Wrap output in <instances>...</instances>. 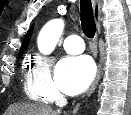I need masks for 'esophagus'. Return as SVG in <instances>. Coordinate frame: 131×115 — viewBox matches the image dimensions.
<instances>
[{"instance_id":"obj_1","label":"esophagus","mask_w":131,"mask_h":115,"mask_svg":"<svg viewBox=\"0 0 131 115\" xmlns=\"http://www.w3.org/2000/svg\"><path fill=\"white\" fill-rule=\"evenodd\" d=\"M100 8H101L100 1L99 0H93V12H94V18H95V21H96V25H97V40H98V38L101 34V10H100ZM101 73H102V66H101V63L99 61L96 78H95L94 82L92 83V85H91V87H90V89H89V91L86 95V98H88L96 89L98 82L100 80V77H101Z\"/></svg>"}]
</instances>
